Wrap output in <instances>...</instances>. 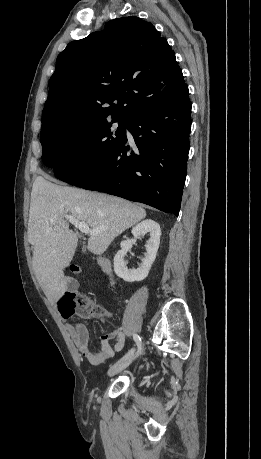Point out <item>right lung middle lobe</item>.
<instances>
[{"label": "right lung middle lobe", "mask_w": 261, "mask_h": 459, "mask_svg": "<svg viewBox=\"0 0 261 459\" xmlns=\"http://www.w3.org/2000/svg\"><path fill=\"white\" fill-rule=\"evenodd\" d=\"M118 122L116 131L111 123L102 121L90 125L55 127L41 133L43 163L54 168L58 179L75 181L106 161L126 138L127 120Z\"/></svg>", "instance_id": "dd1d6c3e"}]
</instances>
